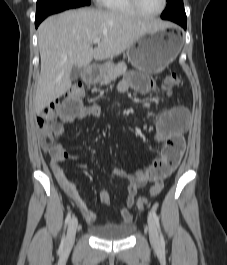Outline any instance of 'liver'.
<instances>
[{
	"label": "liver",
	"mask_w": 227,
	"mask_h": 265,
	"mask_svg": "<svg viewBox=\"0 0 227 265\" xmlns=\"http://www.w3.org/2000/svg\"><path fill=\"white\" fill-rule=\"evenodd\" d=\"M164 27L120 12L90 8L48 17L38 28L41 72L34 98L35 113L42 112L70 89L74 66L87 67L93 59H112L142 35ZM94 38H100V42L93 49Z\"/></svg>",
	"instance_id": "6515ba94"
}]
</instances>
